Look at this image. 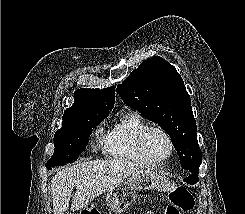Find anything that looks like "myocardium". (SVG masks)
<instances>
[{"mask_svg":"<svg viewBox=\"0 0 245 214\" xmlns=\"http://www.w3.org/2000/svg\"><path fill=\"white\" fill-rule=\"evenodd\" d=\"M153 131H156L162 134L165 137L168 143V147H169L167 155L164 158L159 159V160L150 159L145 150L146 138L148 134ZM137 148L143 160L150 166H159V165L164 164L166 161H168L171 158V156L174 153V143H173L172 137L165 129L158 127V126H147L139 133L138 138H137Z\"/></svg>","mask_w":245,"mask_h":214,"instance_id":"myocardium-1","label":"myocardium"}]
</instances>
